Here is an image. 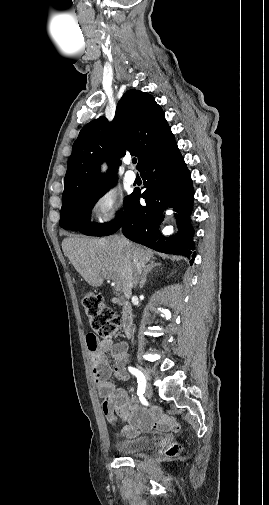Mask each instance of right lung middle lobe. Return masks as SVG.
I'll return each instance as SVG.
<instances>
[{"label":"right lung middle lobe","mask_w":269,"mask_h":505,"mask_svg":"<svg viewBox=\"0 0 269 505\" xmlns=\"http://www.w3.org/2000/svg\"><path fill=\"white\" fill-rule=\"evenodd\" d=\"M116 181L102 187L82 191L62 202L61 218L59 225L63 229L77 231L90 236H107L115 233L122 221L123 212L118 217L105 224H90V212L96 201L107 192ZM131 195L124 201V208Z\"/></svg>","instance_id":"1"}]
</instances>
